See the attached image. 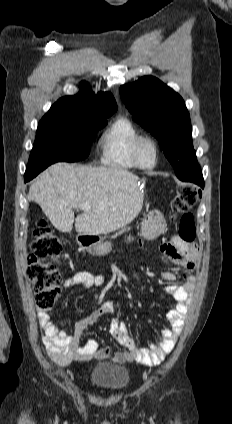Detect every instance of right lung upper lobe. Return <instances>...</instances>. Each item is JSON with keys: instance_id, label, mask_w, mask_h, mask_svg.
Returning <instances> with one entry per match:
<instances>
[{"instance_id": "cb5924a9", "label": "right lung upper lobe", "mask_w": 232, "mask_h": 424, "mask_svg": "<svg viewBox=\"0 0 232 424\" xmlns=\"http://www.w3.org/2000/svg\"><path fill=\"white\" fill-rule=\"evenodd\" d=\"M80 87L81 92L78 95L60 98L49 112H66L93 119H106L117 110L116 101L111 93L99 92L95 95L85 81Z\"/></svg>"}]
</instances>
